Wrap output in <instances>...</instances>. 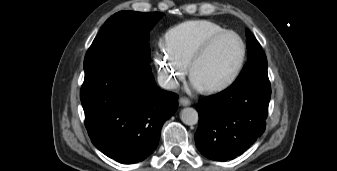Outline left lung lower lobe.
<instances>
[{
  "mask_svg": "<svg viewBox=\"0 0 337 171\" xmlns=\"http://www.w3.org/2000/svg\"><path fill=\"white\" fill-rule=\"evenodd\" d=\"M270 96V84L248 82L200 100L198 150L216 161L242 154L265 131Z\"/></svg>",
  "mask_w": 337,
  "mask_h": 171,
  "instance_id": "obj_1",
  "label": "left lung lower lobe"
}]
</instances>
